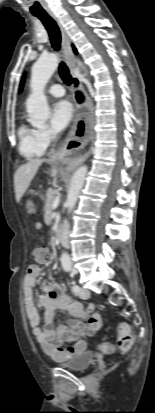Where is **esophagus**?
Returning a JSON list of instances; mask_svg holds the SVG:
<instances>
[{
	"mask_svg": "<svg viewBox=\"0 0 155 413\" xmlns=\"http://www.w3.org/2000/svg\"><path fill=\"white\" fill-rule=\"evenodd\" d=\"M48 14H49V16H51V17L56 21V23H57V25H58V27H59V29H60L61 37H62V51H63V54H64L65 62H66V64H67L70 72H71L72 75H73V85H74V89H75V91H77V92H82V93L85 94V89H84L83 84H82L81 81H80L78 78H76V77L74 76V74H73V72H74V61H73V52H72V47H71V44H70L69 37H68V35H67L64 27L62 26L61 22H60L59 19L55 16V14H54L53 12H48ZM87 105H88V102H86V106H87ZM75 112H76V115H77V116H81L82 113L84 112V106L77 105V106H76V109H75ZM71 134H72V135L75 134V133H74V130L72 131ZM71 138H72V137L69 136L68 141L63 145V147H62V152H63V153H69V152H71V151L74 149L73 147H75V146H72V147H71L72 142H73V141L70 142ZM90 153H91V150H89L88 152H86L85 154H83V155H81V156H79V157L74 158V159L71 161V163H70V165H69V168H70L71 170L77 168V166H79L80 164H82V163L89 157Z\"/></svg>",
	"mask_w": 155,
	"mask_h": 413,
	"instance_id": "obj_1",
	"label": "esophagus"
}]
</instances>
